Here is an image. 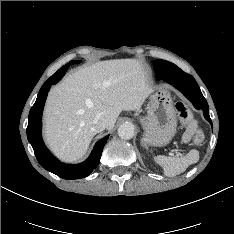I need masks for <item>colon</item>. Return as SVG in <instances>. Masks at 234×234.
<instances>
[{"mask_svg":"<svg viewBox=\"0 0 234 234\" xmlns=\"http://www.w3.org/2000/svg\"><path fill=\"white\" fill-rule=\"evenodd\" d=\"M176 111L182 124L193 134V142L196 145H202L205 141L203 132L198 128L197 121L194 118L191 109L182 101L176 103Z\"/></svg>","mask_w":234,"mask_h":234,"instance_id":"colon-1","label":"colon"}]
</instances>
